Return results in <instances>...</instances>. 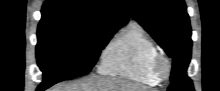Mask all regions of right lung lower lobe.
I'll use <instances>...</instances> for the list:
<instances>
[{
	"label": "right lung lower lobe",
	"instance_id": "obj_1",
	"mask_svg": "<svg viewBox=\"0 0 220 91\" xmlns=\"http://www.w3.org/2000/svg\"><path fill=\"white\" fill-rule=\"evenodd\" d=\"M46 88H47V87L39 86L37 90H38V91H42V90H44V89H46Z\"/></svg>",
	"mask_w": 220,
	"mask_h": 91
}]
</instances>
